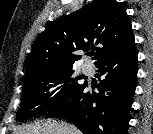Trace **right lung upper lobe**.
<instances>
[{
	"label": "right lung upper lobe",
	"mask_w": 153,
	"mask_h": 134,
	"mask_svg": "<svg viewBox=\"0 0 153 134\" xmlns=\"http://www.w3.org/2000/svg\"><path fill=\"white\" fill-rule=\"evenodd\" d=\"M134 42L130 19L121 2L97 0L69 15L50 22L34 42L27 60L25 78L81 58L76 51L96 48L97 64L105 56Z\"/></svg>",
	"instance_id": "cb5924a9"
}]
</instances>
